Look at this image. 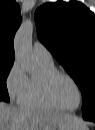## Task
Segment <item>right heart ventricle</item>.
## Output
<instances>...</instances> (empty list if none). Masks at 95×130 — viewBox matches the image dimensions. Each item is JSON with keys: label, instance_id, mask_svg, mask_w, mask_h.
I'll list each match as a JSON object with an SVG mask.
<instances>
[{"label": "right heart ventricle", "instance_id": "1", "mask_svg": "<svg viewBox=\"0 0 95 130\" xmlns=\"http://www.w3.org/2000/svg\"><path fill=\"white\" fill-rule=\"evenodd\" d=\"M44 74L56 71L54 64H45L40 62ZM42 78H30L28 88L22 102L23 106L34 109L58 110L45 97L42 88Z\"/></svg>", "mask_w": 95, "mask_h": 130}]
</instances>
